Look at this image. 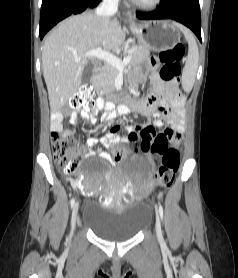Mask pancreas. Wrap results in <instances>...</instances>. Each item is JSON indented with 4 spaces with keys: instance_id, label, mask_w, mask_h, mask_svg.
I'll return each mask as SVG.
<instances>
[{
    "instance_id": "cf45deb5",
    "label": "pancreas",
    "mask_w": 238,
    "mask_h": 278,
    "mask_svg": "<svg viewBox=\"0 0 238 278\" xmlns=\"http://www.w3.org/2000/svg\"><path fill=\"white\" fill-rule=\"evenodd\" d=\"M150 54L147 47L139 45L130 48L127 56H131L129 66L137 65L142 60L146 59ZM118 75V69L109 64L102 67L101 72L93 81V86L96 90L103 94L111 93L115 90V79Z\"/></svg>"
}]
</instances>
